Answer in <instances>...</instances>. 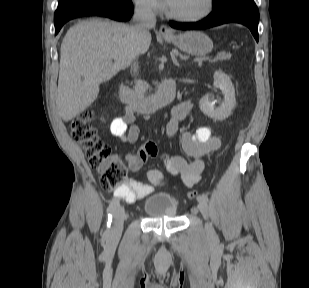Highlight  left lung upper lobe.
Masks as SVG:
<instances>
[{
    "label": "left lung upper lobe",
    "instance_id": "obj_1",
    "mask_svg": "<svg viewBox=\"0 0 309 288\" xmlns=\"http://www.w3.org/2000/svg\"><path fill=\"white\" fill-rule=\"evenodd\" d=\"M229 0H213V10L219 8Z\"/></svg>",
    "mask_w": 309,
    "mask_h": 288
}]
</instances>
